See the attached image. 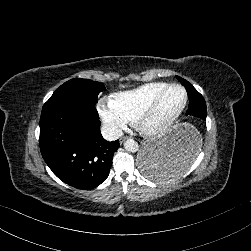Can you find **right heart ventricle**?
<instances>
[{
	"mask_svg": "<svg viewBox=\"0 0 251 251\" xmlns=\"http://www.w3.org/2000/svg\"><path fill=\"white\" fill-rule=\"evenodd\" d=\"M167 82H151L130 91L120 93L116 99L121 108L135 119L145 110Z\"/></svg>",
	"mask_w": 251,
	"mask_h": 251,
	"instance_id": "e07e8e85",
	"label": "right heart ventricle"
}]
</instances>
